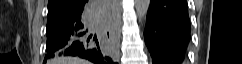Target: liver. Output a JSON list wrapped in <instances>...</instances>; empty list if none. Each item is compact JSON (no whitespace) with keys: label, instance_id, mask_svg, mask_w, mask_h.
<instances>
[{"label":"liver","instance_id":"6515ba94","mask_svg":"<svg viewBox=\"0 0 242 64\" xmlns=\"http://www.w3.org/2000/svg\"><path fill=\"white\" fill-rule=\"evenodd\" d=\"M55 64H89V62L80 58L61 57L55 60Z\"/></svg>","mask_w":242,"mask_h":64}]
</instances>
